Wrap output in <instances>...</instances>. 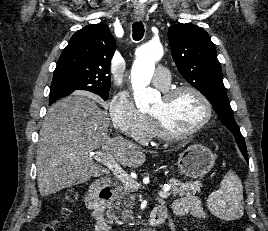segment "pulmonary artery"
<instances>
[{
    "label": "pulmonary artery",
    "instance_id": "obj_1",
    "mask_svg": "<svg viewBox=\"0 0 268 231\" xmlns=\"http://www.w3.org/2000/svg\"><path fill=\"white\" fill-rule=\"evenodd\" d=\"M153 83L161 89L166 90L170 83L171 78L169 71L165 66H158L155 74L153 75Z\"/></svg>",
    "mask_w": 268,
    "mask_h": 231
}]
</instances>
